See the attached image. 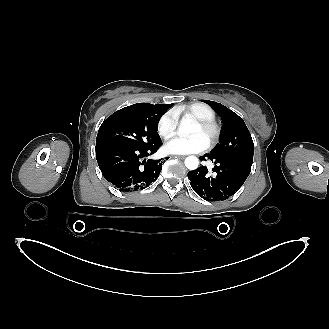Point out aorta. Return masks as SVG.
<instances>
[{"label": "aorta", "instance_id": "aorta-1", "mask_svg": "<svg viewBox=\"0 0 329 329\" xmlns=\"http://www.w3.org/2000/svg\"><path fill=\"white\" fill-rule=\"evenodd\" d=\"M191 126L192 125L188 120L181 121L179 125V133L183 135L189 134L191 132ZM184 163L189 170H195L199 166V160L195 156H188Z\"/></svg>", "mask_w": 329, "mask_h": 329}]
</instances>
